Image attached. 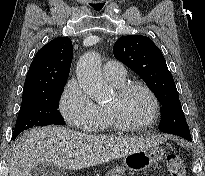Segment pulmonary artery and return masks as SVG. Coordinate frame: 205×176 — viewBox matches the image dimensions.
Here are the masks:
<instances>
[{"instance_id": "1", "label": "pulmonary artery", "mask_w": 205, "mask_h": 176, "mask_svg": "<svg viewBox=\"0 0 205 176\" xmlns=\"http://www.w3.org/2000/svg\"><path fill=\"white\" fill-rule=\"evenodd\" d=\"M103 75L108 80L121 81L126 78L124 65L119 61H108L103 65Z\"/></svg>"}]
</instances>
